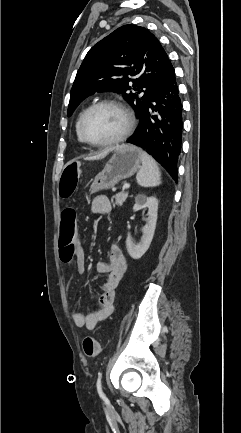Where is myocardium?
I'll use <instances>...</instances> for the list:
<instances>
[{"label":"myocardium","mask_w":241,"mask_h":433,"mask_svg":"<svg viewBox=\"0 0 241 433\" xmlns=\"http://www.w3.org/2000/svg\"><path fill=\"white\" fill-rule=\"evenodd\" d=\"M103 106H110V107H114L116 109H118L124 116L125 119V127L123 129V131L114 139L106 141V142H93L91 140H89L84 132V125L86 122L87 117L90 115V113L92 111H94L95 109L99 108V107H103ZM133 129V118L132 115L129 111V109L120 101L118 100H114V99H104V100H100L97 101L95 103H93L91 106H89L82 114L80 121H79V135L81 140L93 147H110V146H114L117 145L121 142H123L131 133Z\"/></svg>","instance_id":"f54148a6"}]
</instances>
